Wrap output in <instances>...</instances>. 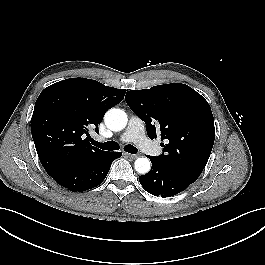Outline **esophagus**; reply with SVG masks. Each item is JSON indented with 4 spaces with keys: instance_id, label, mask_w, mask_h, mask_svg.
Returning <instances> with one entry per match:
<instances>
[{
    "instance_id": "1",
    "label": "esophagus",
    "mask_w": 265,
    "mask_h": 265,
    "mask_svg": "<svg viewBox=\"0 0 265 265\" xmlns=\"http://www.w3.org/2000/svg\"><path fill=\"white\" fill-rule=\"evenodd\" d=\"M125 155L127 157H129L130 159H136L138 157V155H136V154H130V153H125Z\"/></svg>"
}]
</instances>
